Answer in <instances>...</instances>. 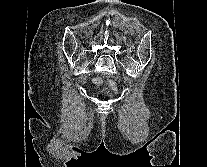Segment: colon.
Returning <instances> with one entry per match:
<instances>
[{"label": "colon", "mask_w": 207, "mask_h": 167, "mask_svg": "<svg viewBox=\"0 0 207 167\" xmlns=\"http://www.w3.org/2000/svg\"><path fill=\"white\" fill-rule=\"evenodd\" d=\"M95 82L97 83V84H102L103 83V81L100 79V78H97L96 80H95ZM106 86L108 87V88H115V86H116V83L115 82H113V81H109V82H107L106 83Z\"/></svg>", "instance_id": "5ec220e1"}]
</instances>
